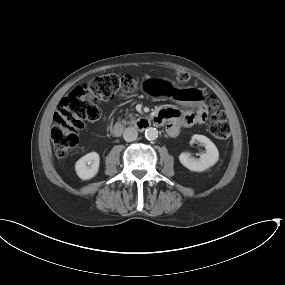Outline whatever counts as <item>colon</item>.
Segmentation results:
<instances>
[{"label": "colon", "mask_w": 285, "mask_h": 285, "mask_svg": "<svg viewBox=\"0 0 285 285\" xmlns=\"http://www.w3.org/2000/svg\"><path fill=\"white\" fill-rule=\"evenodd\" d=\"M190 75L179 71L176 79L180 84H186ZM136 81L131 75L105 74L93 78L88 83L74 87L61 99L53 117L51 139L56 156L63 158L72 152L79 143V131L84 127V121L95 120L99 116L97 103L110 99L117 93H132L136 90ZM210 112V133L219 141L229 137L230 127L226 113L216 99L208 106ZM193 120L194 117H189ZM155 122L162 124L163 118L155 117Z\"/></svg>", "instance_id": "colon-1"}]
</instances>
